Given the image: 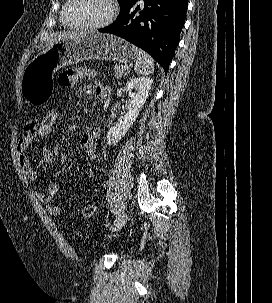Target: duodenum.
I'll list each match as a JSON object with an SVG mask.
<instances>
[{"label": "duodenum", "instance_id": "obj_1", "mask_svg": "<svg viewBox=\"0 0 272 303\" xmlns=\"http://www.w3.org/2000/svg\"><path fill=\"white\" fill-rule=\"evenodd\" d=\"M97 98H98V100L99 101H104V99H105V97L102 95V94H99L98 96H97Z\"/></svg>", "mask_w": 272, "mask_h": 303}]
</instances>
